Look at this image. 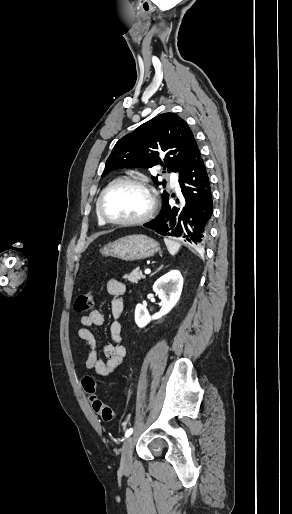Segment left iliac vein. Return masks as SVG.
Returning a JSON list of instances; mask_svg holds the SVG:
<instances>
[{
    "mask_svg": "<svg viewBox=\"0 0 292 514\" xmlns=\"http://www.w3.org/2000/svg\"><path fill=\"white\" fill-rule=\"evenodd\" d=\"M135 442V436L131 435L127 437L124 441L123 448H122V455H121V469L122 470H129L132 466V452H133V445Z\"/></svg>",
    "mask_w": 292,
    "mask_h": 514,
    "instance_id": "obj_1",
    "label": "left iliac vein"
}]
</instances>
